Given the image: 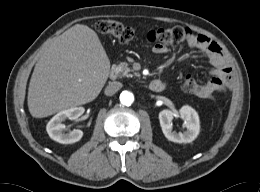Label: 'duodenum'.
Segmentation results:
<instances>
[{
	"label": "duodenum",
	"instance_id": "1",
	"mask_svg": "<svg viewBox=\"0 0 260 192\" xmlns=\"http://www.w3.org/2000/svg\"><path fill=\"white\" fill-rule=\"evenodd\" d=\"M109 76H110V79L114 80L117 76L116 70L112 69L110 71ZM164 88H165V83L159 79H155V80L151 81L149 84V89L153 92H161L164 90Z\"/></svg>",
	"mask_w": 260,
	"mask_h": 192
}]
</instances>
